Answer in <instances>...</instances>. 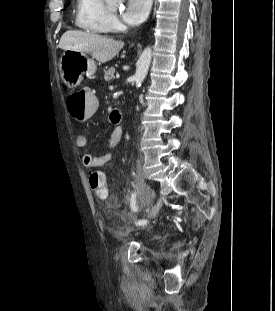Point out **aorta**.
Masks as SVG:
<instances>
[{"label": "aorta", "instance_id": "aorta-1", "mask_svg": "<svg viewBox=\"0 0 275 311\" xmlns=\"http://www.w3.org/2000/svg\"><path fill=\"white\" fill-rule=\"evenodd\" d=\"M124 0H106V2L109 5H119L123 2ZM151 59H152V49L151 47H147L144 49V51L142 52L138 62H137V68H136V73L134 75V81L136 83V87H140L141 84L143 83L150 63H151Z\"/></svg>", "mask_w": 275, "mask_h": 311}]
</instances>
